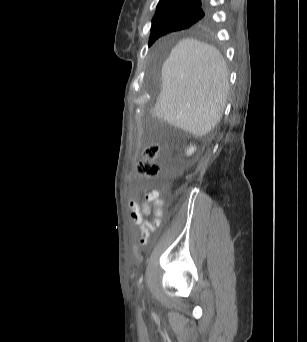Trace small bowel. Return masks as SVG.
Masks as SVG:
<instances>
[{
	"mask_svg": "<svg viewBox=\"0 0 307 342\" xmlns=\"http://www.w3.org/2000/svg\"><path fill=\"white\" fill-rule=\"evenodd\" d=\"M151 203L154 205L153 220L151 222L144 220V215H149L152 211ZM164 200L160 197L158 190H152L145 195V200L139 204L134 200L129 202L131 219L140 226V243L146 244L148 238L154 229L160 225L162 217V208Z\"/></svg>",
	"mask_w": 307,
	"mask_h": 342,
	"instance_id": "obj_1",
	"label": "small bowel"
}]
</instances>
